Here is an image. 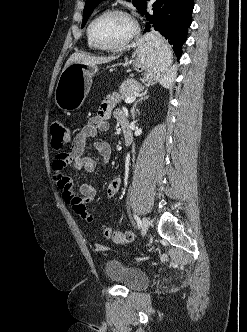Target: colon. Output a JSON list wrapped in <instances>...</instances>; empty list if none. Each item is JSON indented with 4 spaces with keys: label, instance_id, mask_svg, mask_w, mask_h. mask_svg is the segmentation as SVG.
Here are the masks:
<instances>
[{
    "label": "colon",
    "instance_id": "colon-1",
    "mask_svg": "<svg viewBox=\"0 0 247 332\" xmlns=\"http://www.w3.org/2000/svg\"><path fill=\"white\" fill-rule=\"evenodd\" d=\"M51 144L56 150L62 149L70 140V132L64 121L56 120L51 124ZM105 236L117 244L132 242L135 239L131 231L111 230L105 231Z\"/></svg>",
    "mask_w": 247,
    "mask_h": 332
}]
</instances>
